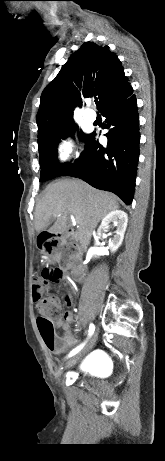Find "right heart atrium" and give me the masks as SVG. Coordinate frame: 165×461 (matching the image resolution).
<instances>
[{
  "label": "right heart atrium",
  "instance_id": "obj_1",
  "mask_svg": "<svg viewBox=\"0 0 165 461\" xmlns=\"http://www.w3.org/2000/svg\"><path fill=\"white\" fill-rule=\"evenodd\" d=\"M80 146L76 139L65 136L57 144V158L62 164H67L80 156Z\"/></svg>",
  "mask_w": 165,
  "mask_h": 461
}]
</instances>
